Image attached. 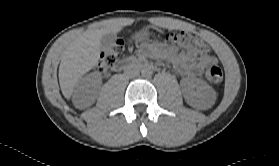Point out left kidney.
<instances>
[{"mask_svg":"<svg viewBox=\"0 0 279 166\" xmlns=\"http://www.w3.org/2000/svg\"><path fill=\"white\" fill-rule=\"evenodd\" d=\"M181 85L183 97L190 106L204 108L214 103L216 93L205 81L198 78H185Z\"/></svg>","mask_w":279,"mask_h":166,"instance_id":"obj_1","label":"left kidney"}]
</instances>
